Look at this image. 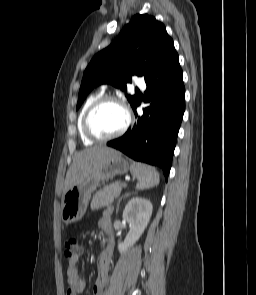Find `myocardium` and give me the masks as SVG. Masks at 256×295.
Segmentation results:
<instances>
[{
    "label": "myocardium",
    "mask_w": 256,
    "mask_h": 295,
    "mask_svg": "<svg viewBox=\"0 0 256 295\" xmlns=\"http://www.w3.org/2000/svg\"><path fill=\"white\" fill-rule=\"evenodd\" d=\"M105 103H114L117 104L119 107L122 108V110L124 111L125 114V122L123 124V126L115 133L108 135V136H98L96 135L90 127V118L92 113L101 105L105 104ZM131 123V115L130 112L128 110V108L125 106V104L118 99L117 97L111 96V95H106V96H101L98 99H96L87 109V111L85 112L84 118H83V130L85 135L92 140L93 142H107L113 139H116L118 137H120L121 135H123L129 125Z\"/></svg>",
    "instance_id": "obj_1"
}]
</instances>
